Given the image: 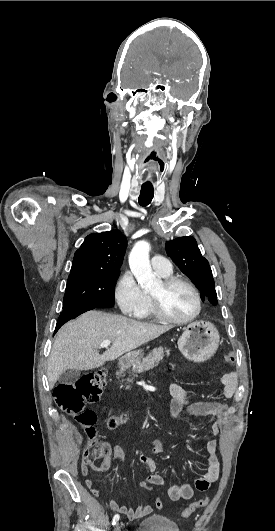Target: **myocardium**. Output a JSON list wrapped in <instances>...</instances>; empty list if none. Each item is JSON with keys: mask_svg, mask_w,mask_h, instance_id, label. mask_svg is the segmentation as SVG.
Returning <instances> with one entry per match:
<instances>
[{"mask_svg": "<svg viewBox=\"0 0 275 531\" xmlns=\"http://www.w3.org/2000/svg\"><path fill=\"white\" fill-rule=\"evenodd\" d=\"M161 283L164 287H169L176 283H181L185 285L186 287H188L194 296L196 307H195L194 312L186 318H183V319L173 318L170 315H168L163 309L160 297L158 295L151 293L153 310H154L155 315L159 319L163 320L164 322L174 324V325H185V324L192 322L200 315L201 310H202L201 296L198 292V289L191 281H189L187 278L182 277V276L168 275V276H163Z\"/></svg>", "mask_w": 275, "mask_h": 531, "instance_id": "obj_1", "label": "myocardium"}]
</instances>
